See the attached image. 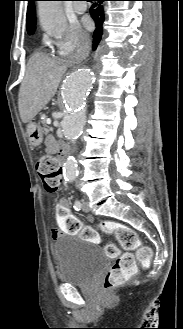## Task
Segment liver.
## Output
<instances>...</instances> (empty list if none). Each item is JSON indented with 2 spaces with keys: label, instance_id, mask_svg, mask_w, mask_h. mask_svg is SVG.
Masks as SVG:
<instances>
[{
  "label": "liver",
  "instance_id": "1",
  "mask_svg": "<svg viewBox=\"0 0 183 329\" xmlns=\"http://www.w3.org/2000/svg\"><path fill=\"white\" fill-rule=\"evenodd\" d=\"M67 65L41 53L34 54L19 89L18 106L22 122L28 123L55 95Z\"/></svg>",
  "mask_w": 183,
  "mask_h": 329
}]
</instances>
